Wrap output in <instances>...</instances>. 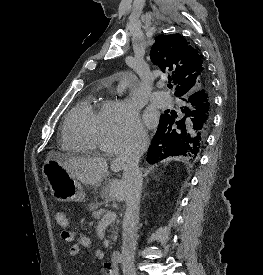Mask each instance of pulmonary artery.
<instances>
[{"label":"pulmonary artery","mask_w":263,"mask_h":275,"mask_svg":"<svg viewBox=\"0 0 263 275\" xmlns=\"http://www.w3.org/2000/svg\"><path fill=\"white\" fill-rule=\"evenodd\" d=\"M151 101L160 108H169L173 105L172 98L163 91L154 92Z\"/></svg>","instance_id":"e3ab8cb5"}]
</instances>
